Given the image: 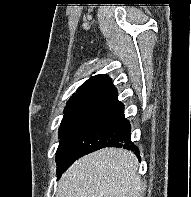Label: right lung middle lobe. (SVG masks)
I'll list each match as a JSON object with an SVG mask.
<instances>
[{
    "instance_id": "dd1d6c3e",
    "label": "right lung middle lobe",
    "mask_w": 191,
    "mask_h": 197,
    "mask_svg": "<svg viewBox=\"0 0 191 197\" xmlns=\"http://www.w3.org/2000/svg\"><path fill=\"white\" fill-rule=\"evenodd\" d=\"M91 110L92 109H80L65 112V115L61 122V126L59 128L60 144L56 151L58 178L62 174L63 166L66 162V159L70 155L71 147L76 140L78 132Z\"/></svg>"
}]
</instances>
